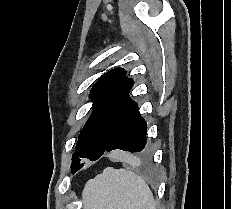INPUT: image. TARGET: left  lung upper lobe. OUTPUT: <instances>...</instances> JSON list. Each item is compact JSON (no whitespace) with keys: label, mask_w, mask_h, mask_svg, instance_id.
<instances>
[{"label":"left lung upper lobe","mask_w":233,"mask_h":209,"mask_svg":"<svg viewBox=\"0 0 233 209\" xmlns=\"http://www.w3.org/2000/svg\"><path fill=\"white\" fill-rule=\"evenodd\" d=\"M124 69L115 68L105 73L93 86V112L79 136L72 156L71 170L80 164V158H100L120 121L134 105L129 98L133 81L125 77Z\"/></svg>","instance_id":"obj_1"}]
</instances>
